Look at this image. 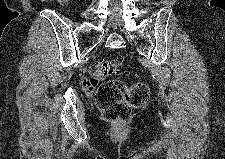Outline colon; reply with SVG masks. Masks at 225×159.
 I'll use <instances>...</instances> for the list:
<instances>
[{"label": "colon", "mask_w": 225, "mask_h": 159, "mask_svg": "<svg viewBox=\"0 0 225 159\" xmlns=\"http://www.w3.org/2000/svg\"><path fill=\"white\" fill-rule=\"evenodd\" d=\"M122 63L123 58L120 56L100 60L95 66V81L117 74ZM148 98L149 88L146 83L127 85L116 79L104 81L95 94L96 105L103 117L117 124L127 122L131 118L132 110L142 107Z\"/></svg>", "instance_id": "obj_1"}]
</instances>
